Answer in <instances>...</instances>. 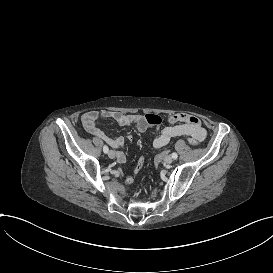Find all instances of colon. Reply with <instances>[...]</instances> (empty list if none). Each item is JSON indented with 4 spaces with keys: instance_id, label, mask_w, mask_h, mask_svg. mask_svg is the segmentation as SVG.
<instances>
[{
    "instance_id": "1",
    "label": "colon",
    "mask_w": 273,
    "mask_h": 273,
    "mask_svg": "<svg viewBox=\"0 0 273 273\" xmlns=\"http://www.w3.org/2000/svg\"><path fill=\"white\" fill-rule=\"evenodd\" d=\"M143 117L146 123L151 126L158 127V126H161L163 123V117L156 113H146L143 115ZM145 159H146V156L144 154H141L138 157V162H137V165L135 166L136 172H141L144 169Z\"/></svg>"
}]
</instances>
